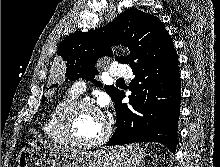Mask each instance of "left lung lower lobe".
I'll list each match as a JSON object with an SVG mask.
<instances>
[{"mask_svg":"<svg viewBox=\"0 0 220 167\" xmlns=\"http://www.w3.org/2000/svg\"><path fill=\"white\" fill-rule=\"evenodd\" d=\"M132 70L129 105L122 103V91L115 100L117 129L107 146L159 142L174 153L181 95L176 50Z\"/></svg>","mask_w":220,"mask_h":167,"instance_id":"obj_1","label":"left lung lower lobe"}]
</instances>
